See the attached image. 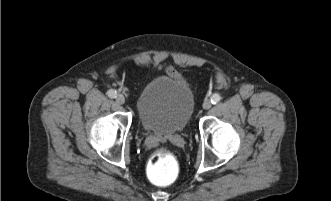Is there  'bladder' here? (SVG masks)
Instances as JSON below:
<instances>
[{"mask_svg": "<svg viewBox=\"0 0 331 201\" xmlns=\"http://www.w3.org/2000/svg\"><path fill=\"white\" fill-rule=\"evenodd\" d=\"M195 107L191 86L170 76H159L141 90L137 99L138 119L146 131L161 135L181 132Z\"/></svg>", "mask_w": 331, "mask_h": 201, "instance_id": "31cf9c89", "label": "bladder"}]
</instances>
